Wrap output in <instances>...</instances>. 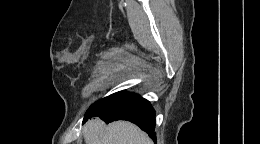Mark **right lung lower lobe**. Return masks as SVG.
Masks as SVG:
<instances>
[{"mask_svg":"<svg viewBox=\"0 0 260 144\" xmlns=\"http://www.w3.org/2000/svg\"><path fill=\"white\" fill-rule=\"evenodd\" d=\"M98 116L106 123L128 120L138 125L156 141L155 113L150 102L135 93L121 91L84 118Z\"/></svg>","mask_w":260,"mask_h":144,"instance_id":"1","label":"right lung lower lobe"}]
</instances>
